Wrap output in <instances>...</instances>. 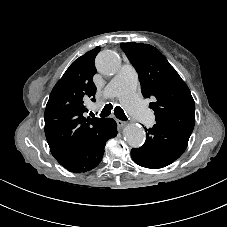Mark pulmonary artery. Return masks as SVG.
<instances>
[{
	"mask_svg": "<svg viewBox=\"0 0 227 227\" xmlns=\"http://www.w3.org/2000/svg\"><path fill=\"white\" fill-rule=\"evenodd\" d=\"M137 73L130 65H123L102 91L105 97H118L122 104L146 126L153 120L152 113L135 93Z\"/></svg>",
	"mask_w": 227,
	"mask_h": 227,
	"instance_id": "e3ab8cb5",
	"label": "pulmonary artery"
}]
</instances>
